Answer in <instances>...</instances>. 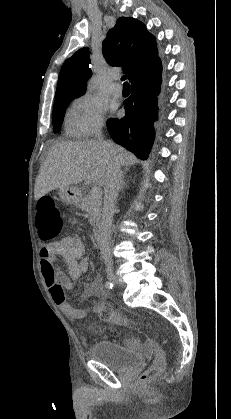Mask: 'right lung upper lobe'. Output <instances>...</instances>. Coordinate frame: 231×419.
<instances>
[{
	"mask_svg": "<svg viewBox=\"0 0 231 419\" xmlns=\"http://www.w3.org/2000/svg\"><path fill=\"white\" fill-rule=\"evenodd\" d=\"M102 53L112 66H123L131 80L159 58L155 38L145 25L134 19L120 17L109 30L102 44ZM87 48L78 50L67 59L58 77L55 102L84 94L86 81L92 75Z\"/></svg>",
	"mask_w": 231,
	"mask_h": 419,
	"instance_id": "cb5924a9",
	"label": "right lung upper lobe"
}]
</instances>
